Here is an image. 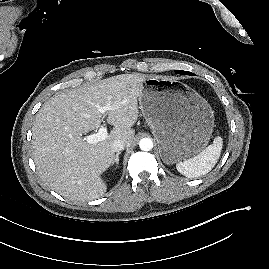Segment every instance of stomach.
I'll list each match as a JSON object with an SVG mask.
<instances>
[{
  "mask_svg": "<svg viewBox=\"0 0 269 269\" xmlns=\"http://www.w3.org/2000/svg\"><path fill=\"white\" fill-rule=\"evenodd\" d=\"M138 101L165 163L186 159L207 145L214 115L195 90L176 80L147 77Z\"/></svg>",
  "mask_w": 269,
  "mask_h": 269,
  "instance_id": "obj_1",
  "label": "stomach"
}]
</instances>
